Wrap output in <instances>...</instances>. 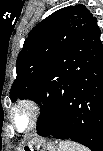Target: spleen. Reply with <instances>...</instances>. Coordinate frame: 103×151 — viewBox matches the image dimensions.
<instances>
[{
  "label": "spleen",
  "instance_id": "1",
  "mask_svg": "<svg viewBox=\"0 0 103 151\" xmlns=\"http://www.w3.org/2000/svg\"><path fill=\"white\" fill-rule=\"evenodd\" d=\"M59 151H90V150L87 147L72 141H61L59 143Z\"/></svg>",
  "mask_w": 103,
  "mask_h": 151
}]
</instances>
